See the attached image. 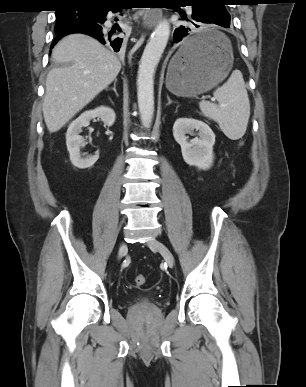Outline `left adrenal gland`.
I'll use <instances>...</instances> for the list:
<instances>
[{"mask_svg":"<svg viewBox=\"0 0 306 387\" xmlns=\"http://www.w3.org/2000/svg\"><path fill=\"white\" fill-rule=\"evenodd\" d=\"M167 100H168V103H167V105H170V104H172V103H175V102H173L171 99H170V97L167 95Z\"/></svg>","mask_w":306,"mask_h":387,"instance_id":"a2214340","label":"left adrenal gland"}]
</instances>
